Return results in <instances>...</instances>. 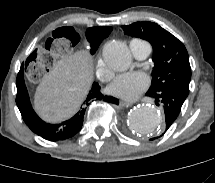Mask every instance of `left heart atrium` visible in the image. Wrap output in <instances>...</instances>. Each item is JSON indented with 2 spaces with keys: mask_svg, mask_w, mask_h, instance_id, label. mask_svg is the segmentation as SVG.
<instances>
[{
  "mask_svg": "<svg viewBox=\"0 0 215 183\" xmlns=\"http://www.w3.org/2000/svg\"><path fill=\"white\" fill-rule=\"evenodd\" d=\"M149 79L142 72H130L118 76L109 86V92L119 98L133 101L148 87Z\"/></svg>",
  "mask_w": 215,
  "mask_h": 183,
  "instance_id": "obj_1",
  "label": "left heart atrium"
}]
</instances>
